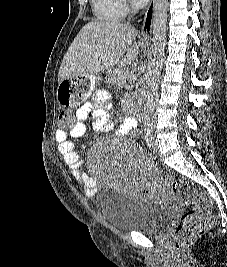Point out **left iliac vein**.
I'll list each match as a JSON object with an SVG mask.
<instances>
[{
    "mask_svg": "<svg viewBox=\"0 0 227 267\" xmlns=\"http://www.w3.org/2000/svg\"><path fill=\"white\" fill-rule=\"evenodd\" d=\"M151 138H152V143H153V150L157 151L158 150L157 140L153 135H151Z\"/></svg>",
    "mask_w": 227,
    "mask_h": 267,
    "instance_id": "4c4485c4",
    "label": "left iliac vein"
}]
</instances>
